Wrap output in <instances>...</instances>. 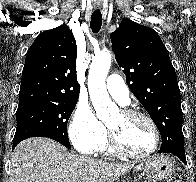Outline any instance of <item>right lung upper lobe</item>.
I'll use <instances>...</instances> for the list:
<instances>
[{"mask_svg": "<svg viewBox=\"0 0 196 182\" xmlns=\"http://www.w3.org/2000/svg\"><path fill=\"white\" fill-rule=\"evenodd\" d=\"M76 57V41L67 25L40 33L26 54L19 106L78 99Z\"/></svg>", "mask_w": 196, "mask_h": 182, "instance_id": "obj_1", "label": "right lung upper lobe"}]
</instances>
